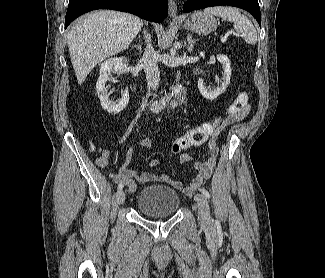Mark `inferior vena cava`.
I'll list each match as a JSON object with an SVG mask.
<instances>
[{"instance_id": "obj_1", "label": "inferior vena cava", "mask_w": 325, "mask_h": 278, "mask_svg": "<svg viewBox=\"0 0 325 278\" xmlns=\"http://www.w3.org/2000/svg\"><path fill=\"white\" fill-rule=\"evenodd\" d=\"M147 47L142 56L140 63L144 68L148 85L155 91L159 87L160 71L158 68V54L150 43L149 35H146Z\"/></svg>"}]
</instances>
